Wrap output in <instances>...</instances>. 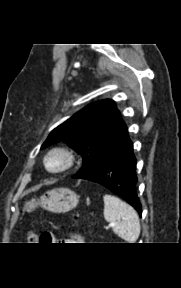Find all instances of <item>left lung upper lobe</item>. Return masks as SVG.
Returning a JSON list of instances; mask_svg holds the SVG:
<instances>
[{"label":"left lung upper lobe","instance_id":"1","mask_svg":"<svg viewBox=\"0 0 181 288\" xmlns=\"http://www.w3.org/2000/svg\"><path fill=\"white\" fill-rule=\"evenodd\" d=\"M126 125L113 100L89 104L56 127L41 149L64 141L83 157V166L73 177L88 175L120 142Z\"/></svg>","mask_w":181,"mask_h":288}]
</instances>
